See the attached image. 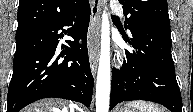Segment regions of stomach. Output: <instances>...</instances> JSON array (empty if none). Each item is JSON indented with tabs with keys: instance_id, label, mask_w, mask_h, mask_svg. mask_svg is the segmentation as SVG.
Wrapping results in <instances>:
<instances>
[{
	"instance_id": "1",
	"label": "stomach",
	"mask_w": 193,
	"mask_h": 112,
	"mask_svg": "<svg viewBox=\"0 0 193 112\" xmlns=\"http://www.w3.org/2000/svg\"><path fill=\"white\" fill-rule=\"evenodd\" d=\"M118 112H135L134 109H131V108H121Z\"/></svg>"
}]
</instances>
